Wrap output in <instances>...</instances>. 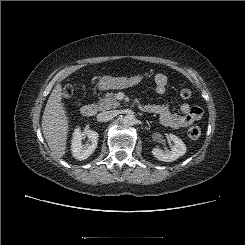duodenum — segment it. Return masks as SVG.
<instances>
[{"label":"duodenum","mask_w":245,"mask_h":245,"mask_svg":"<svg viewBox=\"0 0 245 245\" xmlns=\"http://www.w3.org/2000/svg\"><path fill=\"white\" fill-rule=\"evenodd\" d=\"M96 113V107L90 104L84 105L81 108V115L83 117H92Z\"/></svg>","instance_id":"1"}]
</instances>
